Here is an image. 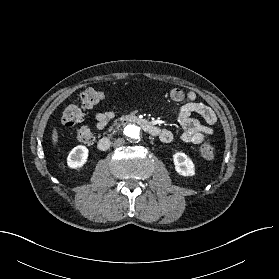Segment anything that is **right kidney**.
<instances>
[{
	"instance_id": "1",
	"label": "right kidney",
	"mask_w": 279,
	"mask_h": 279,
	"mask_svg": "<svg viewBox=\"0 0 279 279\" xmlns=\"http://www.w3.org/2000/svg\"><path fill=\"white\" fill-rule=\"evenodd\" d=\"M88 154L87 147L83 145L74 147L67 157V165L72 169L81 168L87 162Z\"/></svg>"
}]
</instances>
